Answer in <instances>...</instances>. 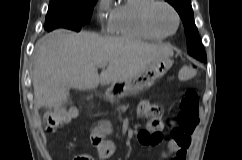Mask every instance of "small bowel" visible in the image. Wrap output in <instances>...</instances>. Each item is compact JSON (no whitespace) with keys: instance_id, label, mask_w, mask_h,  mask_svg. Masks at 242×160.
<instances>
[{"instance_id":"small-bowel-1","label":"small bowel","mask_w":242,"mask_h":160,"mask_svg":"<svg viewBox=\"0 0 242 160\" xmlns=\"http://www.w3.org/2000/svg\"><path fill=\"white\" fill-rule=\"evenodd\" d=\"M146 107L147 106H143L141 108L142 114L145 113ZM109 130H110L109 125H104L101 127V129L95 130L92 137V142L98 152L100 151L101 148H104L110 152L109 154L110 156L114 152V144L111 141L105 139V136L107 135ZM191 133H188V134L183 133L186 138V142L184 146H181L179 141L172 136V132H171L170 139L167 142V154L165 155L168 160H186L188 150L192 143ZM102 142H105V144L101 145Z\"/></svg>"}]
</instances>
